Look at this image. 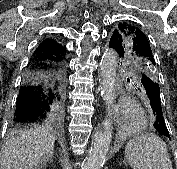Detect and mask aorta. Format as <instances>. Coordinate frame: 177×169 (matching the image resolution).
Instances as JSON below:
<instances>
[{
	"label": "aorta",
	"instance_id": "762f6f07",
	"mask_svg": "<svg viewBox=\"0 0 177 169\" xmlns=\"http://www.w3.org/2000/svg\"><path fill=\"white\" fill-rule=\"evenodd\" d=\"M116 68V51H106L100 62V74L102 78L103 100L107 107L108 116L94 134L92 147L84 169H101L110 147L112 140L111 111L115 102L114 85L116 82Z\"/></svg>",
	"mask_w": 177,
	"mask_h": 169
}]
</instances>
